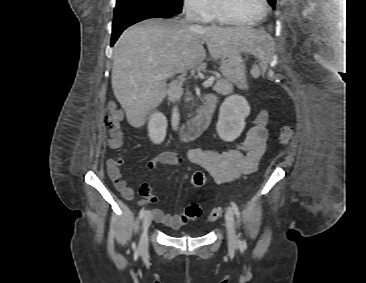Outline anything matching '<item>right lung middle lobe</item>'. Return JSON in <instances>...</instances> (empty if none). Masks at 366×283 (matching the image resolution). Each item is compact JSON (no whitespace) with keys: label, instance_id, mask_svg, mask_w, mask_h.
Listing matches in <instances>:
<instances>
[{"label":"right lung middle lobe","instance_id":"right-lung-middle-lobe-1","mask_svg":"<svg viewBox=\"0 0 366 283\" xmlns=\"http://www.w3.org/2000/svg\"><path fill=\"white\" fill-rule=\"evenodd\" d=\"M127 6H157L170 13L179 14L182 10V0H117L115 8Z\"/></svg>","mask_w":366,"mask_h":283}]
</instances>
